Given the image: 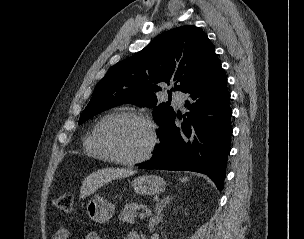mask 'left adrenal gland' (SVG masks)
Instances as JSON below:
<instances>
[{"instance_id":"left-adrenal-gland-1","label":"left adrenal gland","mask_w":304,"mask_h":239,"mask_svg":"<svg viewBox=\"0 0 304 239\" xmlns=\"http://www.w3.org/2000/svg\"><path fill=\"white\" fill-rule=\"evenodd\" d=\"M172 199V196H164L160 201L156 203L154 213L150 216L149 220V229L152 233L154 230V226L157 225L163 217L162 211L166 207L167 204H169L170 200Z\"/></svg>"}]
</instances>
